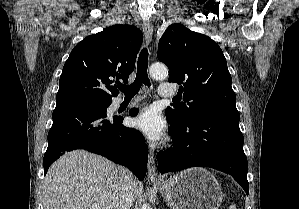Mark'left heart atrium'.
<instances>
[{
	"label": "left heart atrium",
	"mask_w": 299,
	"mask_h": 209,
	"mask_svg": "<svg viewBox=\"0 0 299 209\" xmlns=\"http://www.w3.org/2000/svg\"><path fill=\"white\" fill-rule=\"evenodd\" d=\"M132 126L142 132L148 139L156 141L165 131V122L154 107H149L132 119Z\"/></svg>",
	"instance_id": "1"
}]
</instances>
